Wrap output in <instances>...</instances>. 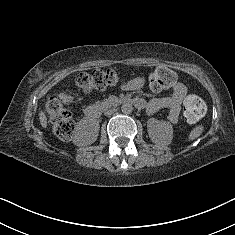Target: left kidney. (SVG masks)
<instances>
[{
    "label": "left kidney",
    "instance_id": "1",
    "mask_svg": "<svg viewBox=\"0 0 235 235\" xmlns=\"http://www.w3.org/2000/svg\"><path fill=\"white\" fill-rule=\"evenodd\" d=\"M147 132L155 144L168 146L173 139V126L167 122L156 118H149L147 121Z\"/></svg>",
    "mask_w": 235,
    "mask_h": 235
}]
</instances>
